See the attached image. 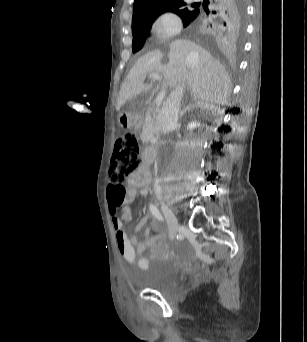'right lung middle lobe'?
<instances>
[{
  "instance_id": "1",
  "label": "right lung middle lobe",
  "mask_w": 307,
  "mask_h": 342,
  "mask_svg": "<svg viewBox=\"0 0 307 342\" xmlns=\"http://www.w3.org/2000/svg\"><path fill=\"white\" fill-rule=\"evenodd\" d=\"M148 33L149 32H144V33H139L133 36V42H132L133 53L139 51L143 47L145 40L148 36Z\"/></svg>"
}]
</instances>
